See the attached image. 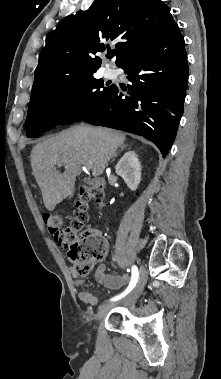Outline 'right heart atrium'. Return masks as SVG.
I'll list each match as a JSON object with an SVG mask.
<instances>
[{
    "mask_svg": "<svg viewBox=\"0 0 221 379\" xmlns=\"http://www.w3.org/2000/svg\"><path fill=\"white\" fill-rule=\"evenodd\" d=\"M71 102V97H66L61 102V108H65Z\"/></svg>",
    "mask_w": 221,
    "mask_h": 379,
    "instance_id": "1",
    "label": "right heart atrium"
}]
</instances>
